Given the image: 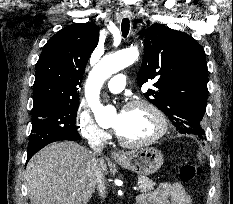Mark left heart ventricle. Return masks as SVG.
<instances>
[{"label": "left heart ventricle", "mask_w": 233, "mask_h": 204, "mask_svg": "<svg viewBox=\"0 0 233 204\" xmlns=\"http://www.w3.org/2000/svg\"><path fill=\"white\" fill-rule=\"evenodd\" d=\"M112 126L118 135L130 141H139L151 137L159 128L156 117L145 107L125 109L121 117L116 114Z\"/></svg>", "instance_id": "left-heart-ventricle-1"}]
</instances>
